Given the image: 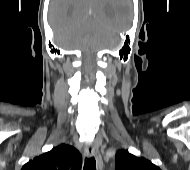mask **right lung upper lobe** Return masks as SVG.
<instances>
[{
  "instance_id": "1",
  "label": "right lung upper lobe",
  "mask_w": 190,
  "mask_h": 170,
  "mask_svg": "<svg viewBox=\"0 0 190 170\" xmlns=\"http://www.w3.org/2000/svg\"><path fill=\"white\" fill-rule=\"evenodd\" d=\"M82 156L72 146L61 144L26 163L21 170H81Z\"/></svg>"
}]
</instances>
